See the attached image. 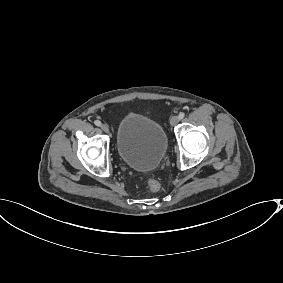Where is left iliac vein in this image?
Here are the masks:
<instances>
[{
    "label": "left iliac vein",
    "mask_w": 283,
    "mask_h": 283,
    "mask_svg": "<svg viewBox=\"0 0 283 283\" xmlns=\"http://www.w3.org/2000/svg\"><path fill=\"white\" fill-rule=\"evenodd\" d=\"M178 122H179L178 116H173V117L170 119V125H171V126H175Z\"/></svg>",
    "instance_id": "1"
}]
</instances>
